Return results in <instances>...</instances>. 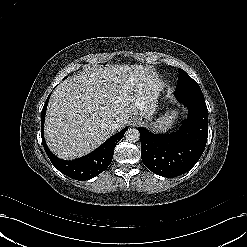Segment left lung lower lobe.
<instances>
[{
    "label": "left lung lower lobe",
    "mask_w": 247,
    "mask_h": 247,
    "mask_svg": "<svg viewBox=\"0 0 247 247\" xmlns=\"http://www.w3.org/2000/svg\"><path fill=\"white\" fill-rule=\"evenodd\" d=\"M176 98L189 109L188 119L173 134H153L138 128L144 165L160 176L183 174L200 159L208 137V110L199 87L176 89Z\"/></svg>",
    "instance_id": "1"
}]
</instances>
